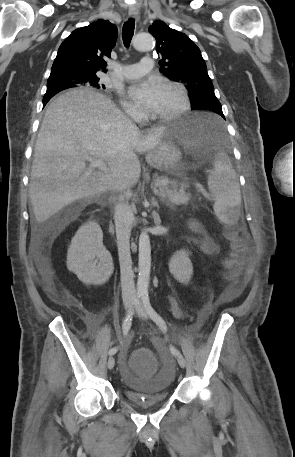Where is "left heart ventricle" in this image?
Returning <instances> with one entry per match:
<instances>
[{"instance_id":"obj_1","label":"left heart ventricle","mask_w":295,"mask_h":457,"mask_svg":"<svg viewBox=\"0 0 295 457\" xmlns=\"http://www.w3.org/2000/svg\"><path fill=\"white\" fill-rule=\"evenodd\" d=\"M180 100L177 92L161 85L159 100L151 112L156 115L172 112L179 106Z\"/></svg>"}]
</instances>
